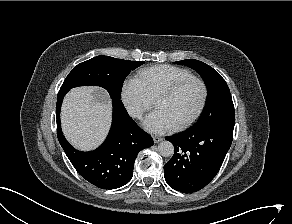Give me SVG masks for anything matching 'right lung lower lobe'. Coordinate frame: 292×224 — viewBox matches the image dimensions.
Masks as SVG:
<instances>
[{
  "mask_svg": "<svg viewBox=\"0 0 292 224\" xmlns=\"http://www.w3.org/2000/svg\"><path fill=\"white\" fill-rule=\"evenodd\" d=\"M68 91L58 93L56 118L57 137L70 162L85 180L99 188L115 189L127 184L138 153L154 144L152 137L134 122L122 102L113 100L112 125L104 143L91 152L75 150L63 136L60 125V108Z\"/></svg>",
  "mask_w": 292,
  "mask_h": 224,
  "instance_id": "obj_1",
  "label": "right lung lower lobe"
}]
</instances>
